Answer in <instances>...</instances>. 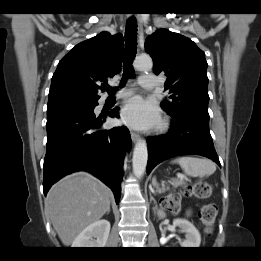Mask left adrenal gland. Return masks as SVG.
I'll return each instance as SVG.
<instances>
[{"label": "left adrenal gland", "mask_w": 261, "mask_h": 261, "mask_svg": "<svg viewBox=\"0 0 261 261\" xmlns=\"http://www.w3.org/2000/svg\"><path fill=\"white\" fill-rule=\"evenodd\" d=\"M150 201H153L154 204H155V207L153 208V210L155 211L157 209V202L156 200L154 199V197L152 196V194L150 193Z\"/></svg>", "instance_id": "a2214340"}]
</instances>
